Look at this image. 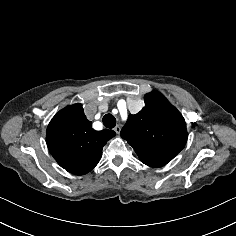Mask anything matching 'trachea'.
<instances>
[{
  "label": "trachea",
  "instance_id": "1",
  "mask_svg": "<svg viewBox=\"0 0 236 236\" xmlns=\"http://www.w3.org/2000/svg\"><path fill=\"white\" fill-rule=\"evenodd\" d=\"M102 121L106 128H114L117 122L116 118L110 113L104 115Z\"/></svg>",
  "mask_w": 236,
  "mask_h": 236
}]
</instances>
